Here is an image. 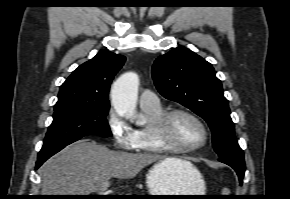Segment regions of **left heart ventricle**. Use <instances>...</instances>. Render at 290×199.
I'll return each mask as SVG.
<instances>
[{
	"label": "left heart ventricle",
	"mask_w": 290,
	"mask_h": 199,
	"mask_svg": "<svg viewBox=\"0 0 290 199\" xmlns=\"http://www.w3.org/2000/svg\"><path fill=\"white\" fill-rule=\"evenodd\" d=\"M168 138L182 147H193L203 140V131L200 125L192 118L177 115L169 124Z\"/></svg>",
	"instance_id": "b2bd125f"
}]
</instances>
